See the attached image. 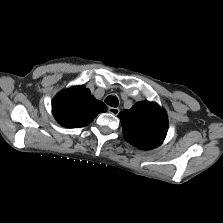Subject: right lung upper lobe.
<instances>
[{"mask_svg":"<svg viewBox=\"0 0 223 223\" xmlns=\"http://www.w3.org/2000/svg\"><path fill=\"white\" fill-rule=\"evenodd\" d=\"M56 120L64 127L78 128L88 125L106 111L103 102L95 100L83 85L72 87L58 94L52 102Z\"/></svg>","mask_w":223,"mask_h":223,"instance_id":"obj_1","label":"right lung upper lobe"}]
</instances>
